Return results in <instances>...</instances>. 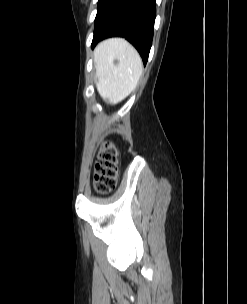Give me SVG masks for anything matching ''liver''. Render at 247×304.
<instances>
[{"instance_id":"obj_1","label":"liver","mask_w":247,"mask_h":304,"mask_svg":"<svg viewBox=\"0 0 247 304\" xmlns=\"http://www.w3.org/2000/svg\"><path fill=\"white\" fill-rule=\"evenodd\" d=\"M94 64L97 91L113 105L136 88L142 73L140 55L123 38H111L99 43L94 50Z\"/></svg>"}]
</instances>
